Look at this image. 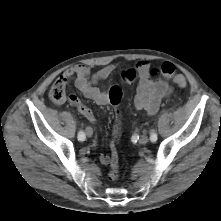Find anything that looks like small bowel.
Segmentation results:
<instances>
[{"label":"small bowel","mask_w":221,"mask_h":221,"mask_svg":"<svg viewBox=\"0 0 221 221\" xmlns=\"http://www.w3.org/2000/svg\"><path fill=\"white\" fill-rule=\"evenodd\" d=\"M114 64H108L91 74L88 66L77 64L66 70L58 78L65 85L75 79V86L82 95L94 101L96 104L106 106L112 104L109 91L102 90L98 87V83L108 78L115 71ZM122 79L126 83H132L138 80L136 93L134 96V106L138 110H144L150 115H154L163 98L172 92V87L163 79H154L150 74V63L148 61H139L134 68L127 69L122 73ZM79 112L91 123L96 122L93 112L81 102L75 104ZM98 160L102 165H109L110 156L99 154Z\"/></svg>","instance_id":"obj_1"}]
</instances>
